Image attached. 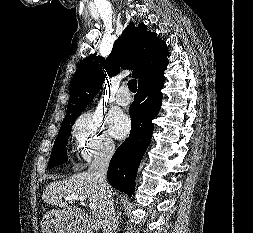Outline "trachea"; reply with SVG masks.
I'll return each instance as SVG.
<instances>
[{"instance_id":"3493384b","label":"trachea","mask_w":253,"mask_h":233,"mask_svg":"<svg viewBox=\"0 0 253 233\" xmlns=\"http://www.w3.org/2000/svg\"><path fill=\"white\" fill-rule=\"evenodd\" d=\"M128 87L131 92L135 93L137 90V82L135 79L129 80Z\"/></svg>"}]
</instances>
